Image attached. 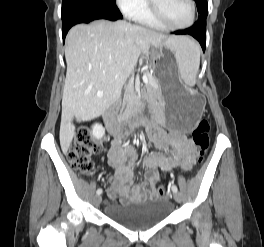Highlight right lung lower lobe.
<instances>
[{"label":"right lung lower lobe","instance_id":"right-lung-lower-lobe-1","mask_svg":"<svg viewBox=\"0 0 264 247\" xmlns=\"http://www.w3.org/2000/svg\"><path fill=\"white\" fill-rule=\"evenodd\" d=\"M62 36L65 41L68 30L79 23H89L97 19L115 21L122 18L115 4H106L90 0H63L62 2Z\"/></svg>","mask_w":264,"mask_h":247}]
</instances>
